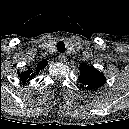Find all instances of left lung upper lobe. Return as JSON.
<instances>
[{
    "label": "left lung upper lobe",
    "mask_w": 129,
    "mask_h": 129,
    "mask_svg": "<svg viewBox=\"0 0 129 129\" xmlns=\"http://www.w3.org/2000/svg\"><path fill=\"white\" fill-rule=\"evenodd\" d=\"M105 77L103 73H100L93 66L82 64L80 69L79 81L87 89H95L105 84Z\"/></svg>",
    "instance_id": "5c2ea615"
}]
</instances>
